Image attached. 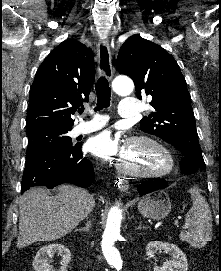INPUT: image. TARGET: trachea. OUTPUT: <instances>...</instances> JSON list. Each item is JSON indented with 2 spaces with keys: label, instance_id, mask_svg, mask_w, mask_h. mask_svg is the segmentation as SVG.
Returning a JSON list of instances; mask_svg holds the SVG:
<instances>
[{
  "label": "trachea",
  "instance_id": "3493384b",
  "mask_svg": "<svg viewBox=\"0 0 221 271\" xmlns=\"http://www.w3.org/2000/svg\"><path fill=\"white\" fill-rule=\"evenodd\" d=\"M96 95H97V106L94 108V111H100L103 108H108L110 106L111 99V88L107 79L104 76H101L96 85H95ZM84 107L78 110V113H83Z\"/></svg>",
  "mask_w": 221,
  "mask_h": 271
}]
</instances>
